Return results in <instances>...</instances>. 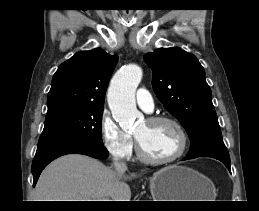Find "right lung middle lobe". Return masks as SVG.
Instances as JSON below:
<instances>
[{
    "mask_svg": "<svg viewBox=\"0 0 259 211\" xmlns=\"http://www.w3.org/2000/svg\"><path fill=\"white\" fill-rule=\"evenodd\" d=\"M102 114L103 107H88L45 121L39 143L60 139H77L103 145Z\"/></svg>",
    "mask_w": 259,
    "mask_h": 211,
    "instance_id": "right-lung-middle-lobe-1",
    "label": "right lung middle lobe"
}]
</instances>
